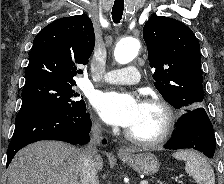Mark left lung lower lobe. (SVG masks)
Listing matches in <instances>:
<instances>
[{
	"instance_id": "obj_1",
	"label": "left lung lower lobe",
	"mask_w": 224,
	"mask_h": 184,
	"mask_svg": "<svg viewBox=\"0 0 224 184\" xmlns=\"http://www.w3.org/2000/svg\"><path fill=\"white\" fill-rule=\"evenodd\" d=\"M215 135L211 121L202 107L189 110L176 123V131L166 149H196L208 157L215 152Z\"/></svg>"
}]
</instances>
